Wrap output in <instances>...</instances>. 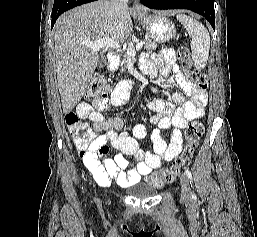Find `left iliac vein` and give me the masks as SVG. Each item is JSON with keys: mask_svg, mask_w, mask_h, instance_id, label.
Here are the masks:
<instances>
[{"mask_svg": "<svg viewBox=\"0 0 257 237\" xmlns=\"http://www.w3.org/2000/svg\"><path fill=\"white\" fill-rule=\"evenodd\" d=\"M180 184H181V198L183 201L187 202L191 199V191H190L189 179L186 175L184 174L181 175Z\"/></svg>", "mask_w": 257, "mask_h": 237, "instance_id": "1", "label": "left iliac vein"}]
</instances>
